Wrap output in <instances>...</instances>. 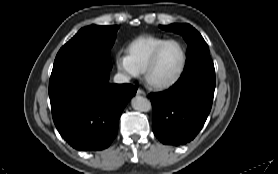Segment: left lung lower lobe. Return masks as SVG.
I'll return each instance as SVG.
<instances>
[{
	"mask_svg": "<svg viewBox=\"0 0 278 174\" xmlns=\"http://www.w3.org/2000/svg\"><path fill=\"white\" fill-rule=\"evenodd\" d=\"M215 76L180 78L166 91L149 94L153 132L164 144L180 145L195 138L211 110Z\"/></svg>",
	"mask_w": 278,
	"mask_h": 174,
	"instance_id": "0a47b994",
	"label": "left lung lower lobe"
}]
</instances>
